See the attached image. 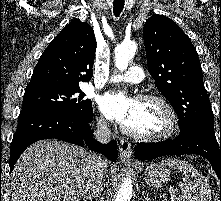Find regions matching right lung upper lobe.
Returning a JSON list of instances; mask_svg holds the SVG:
<instances>
[{
  "label": "right lung upper lobe",
  "mask_w": 221,
  "mask_h": 201,
  "mask_svg": "<svg viewBox=\"0 0 221 201\" xmlns=\"http://www.w3.org/2000/svg\"><path fill=\"white\" fill-rule=\"evenodd\" d=\"M96 40L86 22L74 20L51 41L41 55L29 87L79 88L93 75Z\"/></svg>",
  "instance_id": "right-lung-upper-lobe-1"
}]
</instances>
